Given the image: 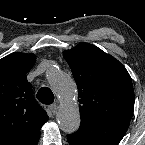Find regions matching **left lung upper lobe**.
Here are the masks:
<instances>
[{"label":"left lung upper lobe","mask_w":145,"mask_h":145,"mask_svg":"<svg viewBox=\"0 0 145 145\" xmlns=\"http://www.w3.org/2000/svg\"><path fill=\"white\" fill-rule=\"evenodd\" d=\"M63 55L78 87L81 120L130 123L135 96L126 68L88 43H80Z\"/></svg>","instance_id":"left-lung-upper-lobe-1"}]
</instances>
